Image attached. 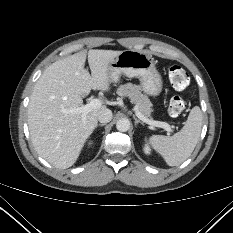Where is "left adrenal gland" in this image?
Instances as JSON below:
<instances>
[{
	"label": "left adrenal gland",
	"mask_w": 233,
	"mask_h": 233,
	"mask_svg": "<svg viewBox=\"0 0 233 233\" xmlns=\"http://www.w3.org/2000/svg\"><path fill=\"white\" fill-rule=\"evenodd\" d=\"M134 120H135V126H137V124H141V125H144V123L143 122H141L140 120H138L137 118H134Z\"/></svg>",
	"instance_id": "1"
}]
</instances>
